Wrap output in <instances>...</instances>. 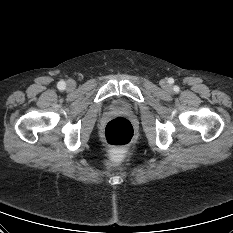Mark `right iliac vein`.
I'll return each instance as SVG.
<instances>
[{"label":"right iliac vein","mask_w":233,"mask_h":233,"mask_svg":"<svg viewBox=\"0 0 233 233\" xmlns=\"http://www.w3.org/2000/svg\"><path fill=\"white\" fill-rule=\"evenodd\" d=\"M67 86L69 89H72L75 86L74 81H72V80L68 81Z\"/></svg>","instance_id":"right-iliac-vein-1"}]
</instances>
